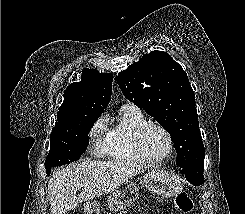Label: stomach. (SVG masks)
I'll return each instance as SVG.
<instances>
[{
	"instance_id": "stomach-1",
	"label": "stomach",
	"mask_w": 245,
	"mask_h": 214,
	"mask_svg": "<svg viewBox=\"0 0 245 214\" xmlns=\"http://www.w3.org/2000/svg\"><path fill=\"white\" fill-rule=\"evenodd\" d=\"M140 183L149 191L164 198L177 196L183 189L182 182L161 171L146 173L140 178ZM138 197V187L132 181L124 182L120 187L110 192L107 205L110 210L120 211L130 206ZM97 204L87 202L84 205L86 214H98Z\"/></svg>"
}]
</instances>
